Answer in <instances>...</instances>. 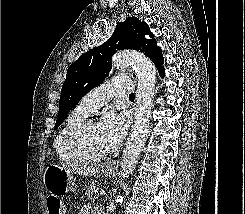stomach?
I'll list each match as a JSON object with an SVG mask.
<instances>
[{
    "label": "stomach",
    "mask_w": 245,
    "mask_h": 214,
    "mask_svg": "<svg viewBox=\"0 0 245 214\" xmlns=\"http://www.w3.org/2000/svg\"><path fill=\"white\" fill-rule=\"evenodd\" d=\"M114 173V170H105L106 177H111ZM43 181L46 190L52 195H64L74 190L75 178L72 172L59 165H49L45 169Z\"/></svg>",
    "instance_id": "0dacf381"
}]
</instances>
